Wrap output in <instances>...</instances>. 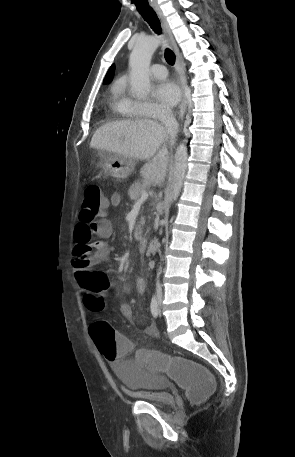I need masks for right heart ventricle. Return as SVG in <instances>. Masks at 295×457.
I'll return each instance as SVG.
<instances>
[{
  "instance_id": "right-heart-ventricle-1",
  "label": "right heart ventricle",
  "mask_w": 295,
  "mask_h": 457,
  "mask_svg": "<svg viewBox=\"0 0 295 457\" xmlns=\"http://www.w3.org/2000/svg\"><path fill=\"white\" fill-rule=\"evenodd\" d=\"M110 106L114 113L125 119H134L139 116L135 101L126 92L125 83L121 80L116 81L110 89Z\"/></svg>"
}]
</instances>
